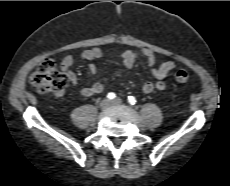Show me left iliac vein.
Listing matches in <instances>:
<instances>
[{
	"instance_id": "1",
	"label": "left iliac vein",
	"mask_w": 230,
	"mask_h": 186,
	"mask_svg": "<svg viewBox=\"0 0 230 186\" xmlns=\"http://www.w3.org/2000/svg\"><path fill=\"white\" fill-rule=\"evenodd\" d=\"M112 105H121L122 100L120 98H116L111 102Z\"/></svg>"
}]
</instances>
